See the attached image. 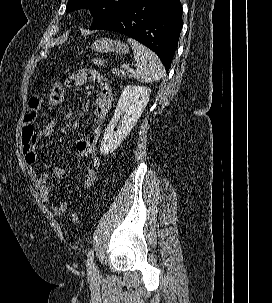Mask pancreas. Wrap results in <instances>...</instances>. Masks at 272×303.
<instances>
[{"instance_id":"cf45deb5","label":"pancreas","mask_w":272,"mask_h":303,"mask_svg":"<svg viewBox=\"0 0 272 303\" xmlns=\"http://www.w3.org/2000/svg\"><path fill=\"white\" fill-rule=\"evenodd\" d=\"M113 73L115 74V75H120V73H121V71H119L118 69H113ZM122 75H125V73L124 72H122Z\"/></svg>"}]
</instances>
